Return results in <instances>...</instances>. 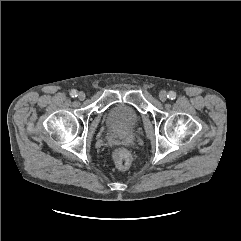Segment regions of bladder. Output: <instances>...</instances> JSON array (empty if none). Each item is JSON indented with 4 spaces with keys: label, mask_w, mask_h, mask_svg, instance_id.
I'll use <instances>...</instances> for the list:
<instances>
[{
    "label": "bladder",
    "mask_w": 241,
    "mask_h": 241,
    "mask_svg": "<svg viewBox=\"0 0 241 241\" xmlns=\"http://www.w3.org/2000/svg\"><path fill=\"white\" fill-rule=\"evenodd\" d=\"M138 112L126 104H114L105 113V123L112 131L125 134L134 130L139 124Z\"/></svg>",
    "instance_id": "1"
}]
</instances>
